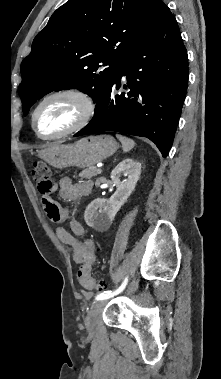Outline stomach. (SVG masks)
<instances>
[{
    "label": "stomach",
    "mask_w": 221,
    "mask_h": 379,
    "mask_svg": "<svg viewBox=\"0 0 221 379\" xmlns=\"http://www.w3.org/2000/svg\"><path fill=\"white\" fill-rule=\"evenodd\" d=\"M116 150L113 137L100 135L82 138L73 144H54L41 150L39 156L58 169L70 166L88 168L110 157Z\"/></svg>",
    "instance_id": "stomach-1"
}]
</instances>
